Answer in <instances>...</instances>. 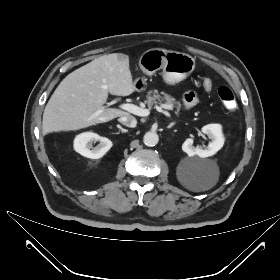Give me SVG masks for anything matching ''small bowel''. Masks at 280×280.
Masks as SVG:
<instances>
[{"label":"small bowel","mask_w":280,"mask_h":280,"mask_svg":"<svg viewBox=\"0 0 280 280\" xmlns=\"http://www.w3.org/2000/svg\"><path fill=\"white\" fill-rule=\"evenodd\" d=\"M198 102L197 97L194 94H189L185 98V108H190Z\"/></svg>","instance_id":"1"}]
</instances>
